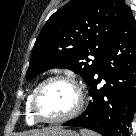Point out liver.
Here are the masks:
<instances>
[{
  "label": "liver",
  "mask_w": 136,
  "mask_h": 136,
  "mask_svg": "<svg viewBox=\"0 0 136 136\" xmlns=\"http://www.w3.org/2000/svg\"><path fill=\"white\" fill-rule=\"evenodd\" d=\"M55 129L58 128H48L43 130H35L31 132L30 136H49Z\"/></svg>",
  "instance_id": "liver-1"
}]
</instances>
